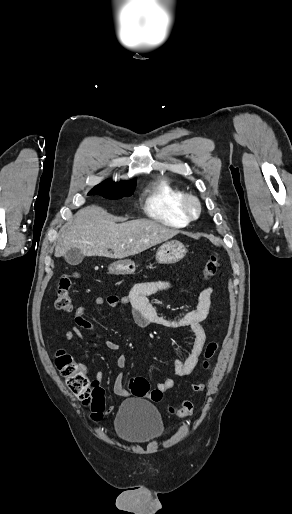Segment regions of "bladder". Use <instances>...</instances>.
<instances>
[{
    "instance_id": "31cf9c89",
    "label": "bladder",
    "mask_w": 292,
    "mask_h": 514,
    "mask_svg": "<svg viewBox=\"0 0 292 514\" xmlns=\"http://www.w3.org/2000/svg\"><path fill=\"white\" fill-rule=\"evenodd\" d=\"M115 432L126 443L142 444L160 438L165 427L154 405L132 398L120 406L115 418Z\"/></svg>"
}]
</instances>
